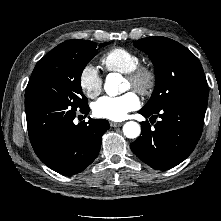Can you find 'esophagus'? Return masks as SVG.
Segmentation results:
<instances>
[{
	"label": "esophagus",
	"instance_id": "obj_1",
	"mask_svg": "<svg viewBox=\"0 0 221 221\" xmlns=\"http://www.w3.org/2000/svg\"><path fill=\"white\" fill-rule=\"evenodd\" d=\"M122 122H119V123H117V122H110V126L111 127H120V126H122Z\"/></svg>",
	"mask_w": 221,
	"mask_h": 221
}]
</instances>
